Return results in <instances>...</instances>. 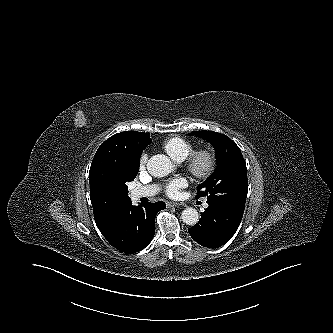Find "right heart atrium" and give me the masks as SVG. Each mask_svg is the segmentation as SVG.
I'll return each instance as SVG.
<instances>
[{
  "instance_id": "d8ad5b80",
  "label": "right heart atrium",
  "mask_w": 333,
  "mask_h": 333,
  "mask_svg": "<svg viewBox=\"0 0 333 333\" xmlns=\"http://www.w3.org/2000/svg\"><path fill=\"white\" fill-rule=\"evenodd\" d=\"M148 156L146 153H142L139 159V168L143 169L147 163Z\"/></svg>"
}]
</instances>
